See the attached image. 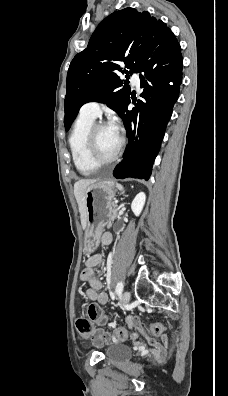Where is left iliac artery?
<instances>
[{
  "mask_svg": "<svg viewBox=\"0 0 228 396\" xmlns=\"http://www.w3.org/2000/svg\"><path fill=\"white\" fill-rule=\"evenodd\" d=\"M123 287H124L123 282L122 281L118 282L115 288L116 294L120 295L123 291Z\"/></svg>",
  "mask_w": 228,
  "mask_h": 396,
  "instance_id": "1",
  "label": "left iliac artery"
}]
</instances>
